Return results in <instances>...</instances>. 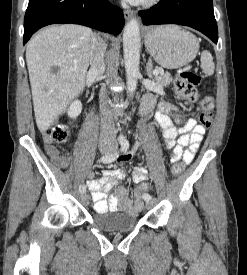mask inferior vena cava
<instances>
[{
	"instance_id": "602c4592",
	"label": "inferior vena cava",
	"mask_w": 247,
	"mask_h": 275,
	"mask_svg": "<svg viewBox=\"0 0 247 275\" xmlns=\"http://www.w3.org/2000/svg\"><path fill=\"white\" fill-rule=\"evenodd\" d=\"M106 44L102 38L93 35L90 46V73L95 76H101L105 71L104 54ZM100 109H101V127H100V144L114 146L116 144V131L112 115L106 110L107 100L104 88L100 91Z\"/></svg>"
}]
</instances>
